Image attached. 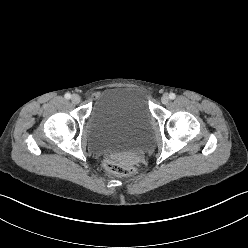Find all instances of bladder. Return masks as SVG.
<instances>
[{
    "label": "bladder",
    "mask_w": 248,
    "mask_h": 248,
    "mask_svg": "<svg viewBox=\"0 0 248 248\" xmlns=\"http://www.w3.org/2000/svg\"><path fill=\"white\" fill-rule=\"evenodd\" d=\"M153 116L139 88L107 90L93 105L87 123L89 147L114 156L142 151L150 136Z\"/></svg>",
    "instance_id": "obj_1"
}]
</instances>
